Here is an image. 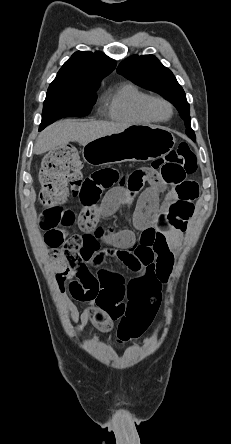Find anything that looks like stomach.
Returning a JSON list of instances; mask_svg holds the SVG:
<instances>
[{"label":"stomach","instance_id":"0dacf381","mask_svg":"<svg viewBox=\"0 0 231 444\" xmlns=\"http://www.w3.org/2000/svg\"><path fill=\"white\" fill-rule=\"evenodd\" d=\"M176 143L167 128L134 124L120 133L97 138L83 148L85 162L91 165L120 163L125 161H147L167 155Z\"/></svg>","mask_w":231,"mask_h":444}]
</instances>
